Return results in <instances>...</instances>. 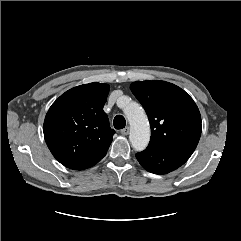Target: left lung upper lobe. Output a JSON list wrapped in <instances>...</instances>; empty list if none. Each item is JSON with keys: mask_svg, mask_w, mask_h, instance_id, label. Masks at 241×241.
Masks as SVG:
<instances>
[{"mask_svg": "<svg viewBox=\"0 0 241 241\" xmlns=\"http://www.w3.org/2000/svg\"><path fill=\"white\" fill-rule=\"evenodd\" d=\"M151 126V145L194 151L201 135V116L193 99L165 81H137L130 86Z\"/></svg>", "mask_w": 241, "mask_h": 241, "instance_id": "left-lung-upper-lobe-1", "label": "left lung upper lobe"}]
</instances>
